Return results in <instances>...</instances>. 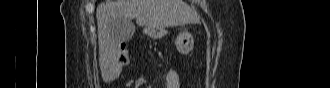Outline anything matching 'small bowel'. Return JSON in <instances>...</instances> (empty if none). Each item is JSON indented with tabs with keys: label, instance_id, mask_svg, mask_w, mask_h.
I'll list each match as a JSON object with an SVG mask.
<instances>
[{
	"label": "small bowel",
	"instance_id": "c3829d8e",
	"mask_svg": "<svg viewBox=\"0 0 330 88\" xmlns=\"http://www.w3.org/2000/svg\"><path fill=\"white\" fill-rule=\"evenodd\" d=\"M121 52L125 53L127 55V59L125 61V64H126L128 62V51L126 48H122ZM165 82H166V86H165L166 88H179L180 82H179L178 73L174 70L169 71L166 74Z\"/></svg>",
	"mask_w": 330,
	"mask_h": 88
}]
</instances>
